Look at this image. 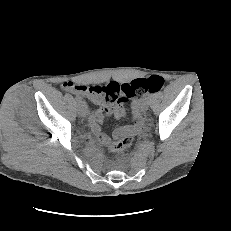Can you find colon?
<instances>
[{
	"mask_svg": "<svg viewBox=\"0 0 231 231\" xmlns=\"http://www.w3.org/2000/svg\"><path fill=\"white\" fill-rule=\"evenodd\" d=\"M165 80L159 75H152L148 78L134 79L129 83L122 85L111 84L108 86V95L112 100H117L121 97L129 99L131 97L141 95L145 92L157 93L164 86ZM133 143L132 132H127L116 141L109 145V150L113 153H118L129 148Z\"/></svg>",
	"mask_w": 231,
	"mask_h": 231,
	"instance_id": "5ec220e1",
	"label": "colon"
}]
</instances>
